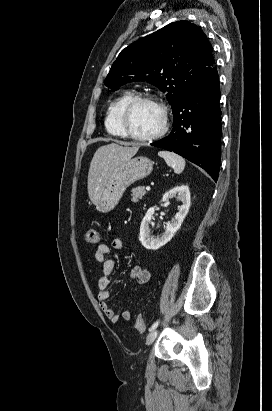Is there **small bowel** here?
Instances as JSON below:
<instances>
[{"label": "small bowel", "mask_w": 272, "mask_h": 411, "mask_svg": "<svg viewBox=\"0 0 272 411\" xmlns=\"http://www.w3.org/2000/svg\"><path fill=\"white\" fill-rule=\"evenodd\" d=\"M123 247L124 245L121 239L113 240V250H121ZM95 259L102 266V274L98 279V300L101 311L113 323L118 322L121 318L123 320H129L131 317V312L128 309L123 310L121 315H119L107 303V300L110 297V278L115 268V260L111 256V248L107 244L98 245L95 253ZM130 278L138 284H146L150 281L151 274L146 267L136 265L130 271Z\"/></svg>", "instance_id": "small-bowel-1"}]
</instances>
